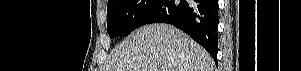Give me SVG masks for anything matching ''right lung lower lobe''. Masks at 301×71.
Instances as JSON below:
<instances>
[{
	"label": "right lung lower lobe",
	"instance_id": "obj_1",
	"mask_svg": "<svg viewBox=\"0 0 301 71\" xmlns=\"http://www.w3.org/2000/svg\"><path fill=\"white\" fill-rule=\"evenodd\" d=\"M156 22L172 24L189 34L217 63V0H158L141 19L139 27Z\"/></svg>",
	"mask_w": 301,
	"mask_h": 71
}]
</instances>
